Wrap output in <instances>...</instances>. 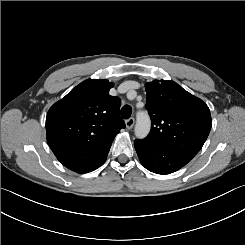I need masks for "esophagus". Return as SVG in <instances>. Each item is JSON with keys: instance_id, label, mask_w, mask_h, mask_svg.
Segmentation results:
<instances>
[{"instance_id": "1", "label": "esophagus", "mask_w": 245, "mask_h": 245, "mask_svg": "<svg viewBox=\"0 0 245 245\" xmlns=\"http://www.w3.org/2000/svg\"><path fill=\"white\" fill-rule=\"evenodd\" d=\"M134 123H135V119L133 117H131L125 121L126 127L129 130L134 126Z\"/></svg>"}]
</instances>
